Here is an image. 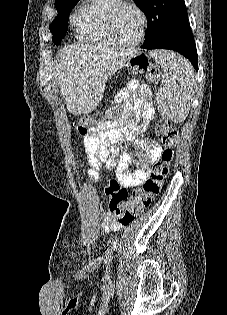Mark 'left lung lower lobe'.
Wrapping results in <instances>:
<instances>
[{
	"label": "left lung lower lobe",
	"instance_id": "left-lung-lower-lobe-1",
	"mask_svg": "<svg viewBox=\"0 0 227 315\" xmlns=\"http://www.w3.org/2000/svg\"><path fill=\"white\" fill-rule=\"evenodd\" d=\"M142 48L174 50L189 59L198 70L196 44L188 21L169 28L154 40L144 42Z\"/></svg>",
	"mask_w": 227,
	"mask_h": 315
}]
</instances>
